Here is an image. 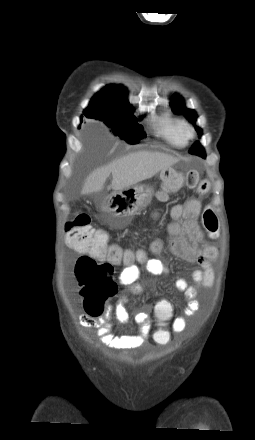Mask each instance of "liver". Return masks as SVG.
<instances>
[{"label":"liver","mask_w":255,"mask_h":440,"mask_svg":"<svg viewBox=\"0 0 255 440\" xmlns=\"http://www.w3.org/2000/svg\"><path fill=\"white\" fill-rule=\"evenodd\" d=\"M178 158L159 152L139 151L121 157L94 170L85 180L82 195L102 191L106 179L112 174L111 188L121 191L143 180L152 178L159 171L176 164Z\"/></svg>","instance_id":"liver-1"}]
</instances>
